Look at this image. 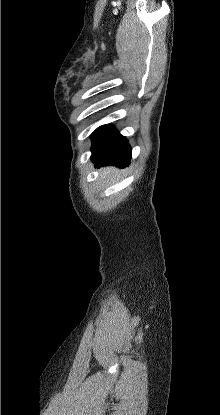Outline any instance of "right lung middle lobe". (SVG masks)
Segmentation results:
<instances>
[{
	"instance_id": "1",
	"label": "right lung middle lobe",
	"mask_w": 220,
	"mask_h": 415,
	"mask_svg": "<svg viewBox=\"0 0 220 415\" xmlns=\"http://www.w3.org/2000/svg\"><path fill=\"white\" fill-rule=\"evenodd\" d=\"M106 125L100 126L99 128H97L93 134H92V139H93V143H92V148L93 146L97 143V141L99 140V138L101 137L103 131L105 130Z\"/></svg>"
}]
</instances>
